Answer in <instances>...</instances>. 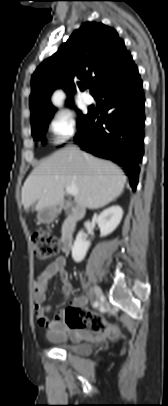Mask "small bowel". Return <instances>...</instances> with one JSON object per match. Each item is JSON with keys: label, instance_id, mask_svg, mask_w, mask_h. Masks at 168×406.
<instances>
[{"label": "small bowel", "instance_id": "obj_1", "mask_svg": "<svg viewBox=\"0 0 168 406\" xmlns=\"http://www.w3.org/2000/svg\"><path fill=\"white\" fill-rule=\"evenodd\" d=\"M65 266L66 259L63 256L56 258L42 271L34 283L35 313L38 323L46 329L48 338L54 342L65 341L68 337L78 339L93 335V332L83 327L69 325L65 321V310L63 309H55L52 319L46 317V309L42 307V304L46 300L51 280L56 274H58L59 280L62 283V293L70 301L71 307L81 311L88 302V297L85 295L72 299L73 287L69 281V274ZM95 337L98 340H103L104 334L96 333Z\"/></svg>", "mask_w": 168, "mask_h": 406}]
</instances>
